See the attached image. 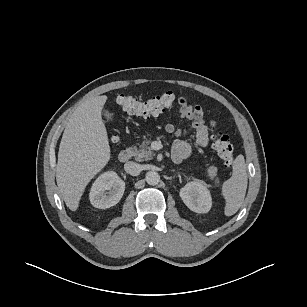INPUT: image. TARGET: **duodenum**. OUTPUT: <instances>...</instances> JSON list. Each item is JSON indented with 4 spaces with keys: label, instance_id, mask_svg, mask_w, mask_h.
<instances>
[{
    "label": "duodenum",
    "instance_id": "obj_1",
    "mask_svg": "<svg viewBox=\"0 0 307 307\" xmlns=\"http://www.w3.org/2000/svg\"><path fill=\"white\" fill-rule=\"evenodd\" d=\"M132 156V151L129 149L126 150H122L119 155H118V159L121 163H126L130 160Z\"/></svg>",
    "mask_w": 307,
    "mask_h": 307
}]
</instances>
